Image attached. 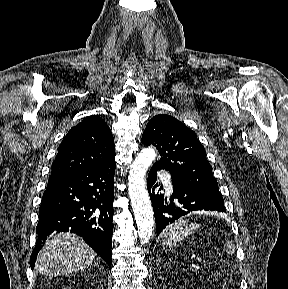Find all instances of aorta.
<instances>
[{
	"instance_id": "762f6f07",
	"label": "aorta",
	"mask_w": 288,
	"mask_h": 289,
	"mask_svg": "<svg viewBox=\"0 0 288 289\" xmlns=\"http://www.w3.org/2000/svg\"><path fill=\"white\" fill-rule=\"evenodd\" d=\"M155 157L154 148L141 150L133 161L128 176L129 195L141 244L150 241L154 229V214L145 175Z\"/></svg>"
}]
</instances>
